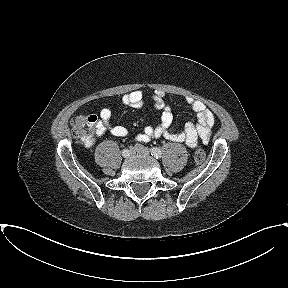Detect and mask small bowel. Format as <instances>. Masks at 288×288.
Returning <instances> with one entry per match:
<instances>
[{"mask_svg":"<svg viewBox=\"0 0 288 288\" xmlns=\"http://www.w3.org/2000/svg\"><path fill=\"white\" fill-rule=\"evenodd\" d=\"M152 107L159 114L160 122L155 127L147 126L143 132L137 136L139 141H149L152 138H165L167 140L185 143L189 148H195L198 140L208 143L212 135L214 125V115L201 101L187 97L186 102L189 107L196 113L197 122H188L183 131H176L174 115L169 105L164 101L161 92L151 94ZM121 103L131 108H142L145 104V95L142 90H135L123 95ZM112 112L108 107L100 110V120L97 122L95 133L101 136L108 132L116 137H124L128 130L121 125H112L110 123Z\"/></svg>","mask_w":288,"mask_h":288,"instance_id":"small-bowel-1","label":"small bowel"}]
</instances>
